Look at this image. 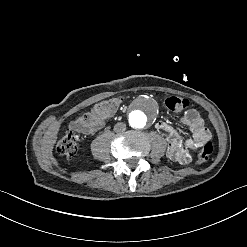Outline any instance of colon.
Here are the masks:
<instances>
[{"label":"colon","instance_id":"1","mask_svg":"<svg viewBox=\"0 0 247 247\" xmlns=\"http://www.w3.org/2000/svg\"><path fill=\"white\" fill-rule=\"evenodd\" d=\"M125 103V98L123 96H105L104 100L98 101V109L94 108L92 113L96 115L97 122H108L109 116L115 115V108L117 105H123ZM189 102L186 98H176L168 97L164 101V106L175 113H180L182 110L186 109ZM78 151V134L69 130L60 139L58 145V152L64 156H74ZM213 152L212 141L204 142L199 154L197 165H203L206 163Z\"/></svg>","mask_w":247,"mask_h":247}]
</instances>
